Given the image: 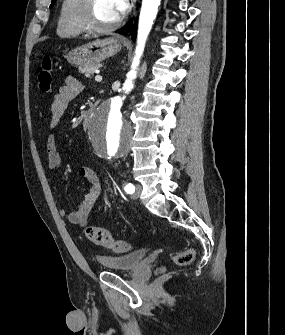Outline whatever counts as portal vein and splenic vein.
I'll return each instance as SVG.
<instances>
[{
  "mask_svg": "<svg viewBox=\"0 0 285 335\" xmlns=\"http://www.w3.org/2000/svg\"><path fill=\"white\" fill-rule=\"evenodd\" d=\"M95 74H100L99 70H94ZM96 82H102V76H95Z\"/></svg>",
  "mask_w": 285,
  "mask_h": 335,
  "instance_id": "portal-vein-and-splenic-vein-1",
  "label": "portal vein and splenic vein"
}]
</instances>
